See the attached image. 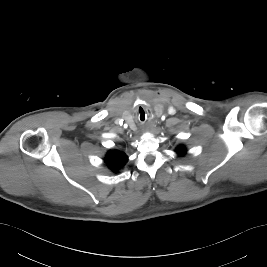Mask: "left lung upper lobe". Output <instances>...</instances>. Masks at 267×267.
<instances>
[{
  "label": "left lung upper lobe",
  "instance_id": "left-lung-upper-lobe-1",
  "mask_svg": "<svg viewBox=\"0 0 267 267\" xmlns=\"http://www.w3.org/2000/svg\"><path fill=\"white\" fill-rule=\"evenodd\" d=\"M176 152L179 154V156H183L186 153V148L184 146H178Z\"/></svg>",
  "mask_w": 267,
  "mask_h": 267
}]
</instances>
